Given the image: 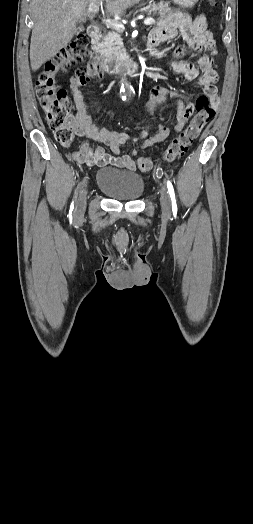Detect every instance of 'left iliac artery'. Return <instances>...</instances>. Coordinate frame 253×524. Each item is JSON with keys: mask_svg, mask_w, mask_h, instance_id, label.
Segmentation results:
<instances>
[{"mask_svg": "<svg viewBox=\"0 0 253 524\" xmlns=\"http://www.w3.org/2000/svg\"><path fill=\"white\" fill-rule=\"evenodd\" d=\"M167 188H168V192H169L171 202H172V211L174 214H176L177 213V204H176V199H175L174 188H173L172 183L169 180L167 181Z\"/></svg>", "mask_w": 253, "mask_h": 524, "instance_id": "left-iliac-artery-1", "label": "left iliac artery"}]
</instances>
